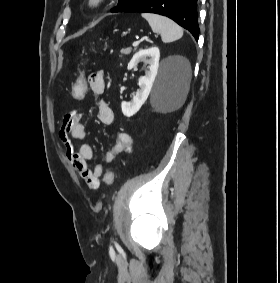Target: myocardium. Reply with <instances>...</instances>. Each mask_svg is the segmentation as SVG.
<instances>
[{"label":"myocardium","instance_id":"obj_1","mask_svg":"<svg viewBox=\"0 0 280 283\" xmlns=\"http://www.w3.org/2000/svg\"><path fill=\"white\" fill-rule=\"evenodd\" d=\"M106 0H86L85 8L90 12H94L99 10L104 4Z\"/></svg>","mask_w":280,"mask_h":283}]
</instances>
